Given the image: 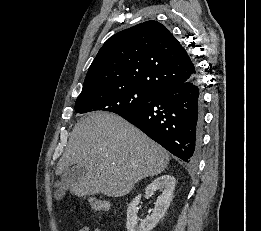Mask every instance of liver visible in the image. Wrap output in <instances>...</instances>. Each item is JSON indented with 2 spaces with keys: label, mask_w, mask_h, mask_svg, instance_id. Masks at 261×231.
Listing matches in <instances>:
<instances>
[{
  "label": "liver",
  "mask_w": 261,
  "mask_h": 231,
  "mask_svg": "<svg viewBox=\"0 0 261 231\" xmlns=\"http://www.w3.org/2000/svg\"><path fill=\"white\" fill-rule=\"evenodd\" d=\"M168 163V152L132 124L112 113L93 112L75 125L56 168V175H64L72 165L87 173L66 186L58 181L55 187L78 197L124 196L138 181L163 172Z\"/></svg>",
  "instance_id": "liver-1"
}]
</instances>
